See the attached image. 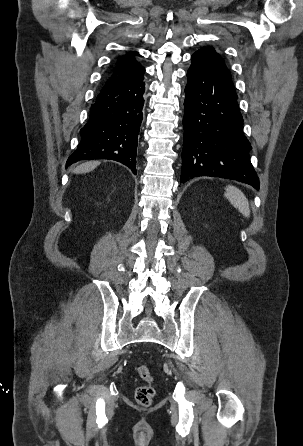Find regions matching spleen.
<instances>
[{
    "mask_svg": "<svg viewBox=\"0 0 303 446\" xmlns=\"http://www.w3.org/2000/svg\"><path fill=\"white\" fill-rule=\"evenodd\" d=\"M225 197L238 211L245 217L250 216L249 203L245 195L237 187L228 185L226 187Z\"/></svg>",
    "mask_w": 303,
    "mask_h": 446,
    "instance_id": "3e777b00",
    "label": "spleen"
}]
</instances>
